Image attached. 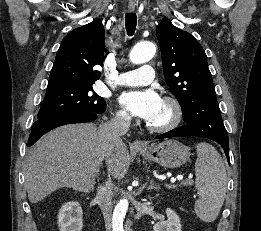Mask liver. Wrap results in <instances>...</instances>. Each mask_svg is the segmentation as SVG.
I'll use <instances>...</instances> for the list:
<instances>
[{"mask_svg": "<svg viewBox=\"0 0 261 231\" xmlns=\"http://www.w3.org/2000/svg\"><path fill=\"white\" fill-rule=\"evenodd\" d=\"M103 159L114 178L122 179L128 172L127 146L122 142L106 155L94 124L65 125L45 134L30 150L24 167L29 201L39 202L62 187L92 191Z\"/></svg>", "mask_w": 261, "mask_h": 231, "instance_id": "6515ba94", "label": "liver"}]
</instances>
